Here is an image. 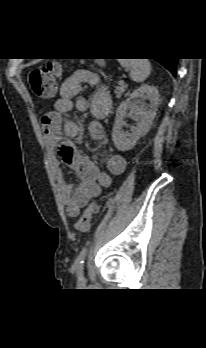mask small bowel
Listing matches in <instances>:
<instances>
[{
  "label": "small bowel",
  "instance_id": "1",
  "mask_svg": "<svg viewBox=\"0 0 206 348\" xmlns=\"http://www.w3.org/2000/svg\"><path fill=\"white\" fill-rule=\"evenodd\" d=\"M99 77L88 70H78L61 85L59 97L54 103V109L42 118V131L46 146L54 167V173L59 186L63 204L69 217H76L81 208L91 199L101 194L102 188L112 185V176L120 175L126 169V160L117 153H110L105 158L106 170H100L87 157L80 154L75 146L65 138L75 137L80 132L79 124L63 117L64 114L76 110L90 111L93 120L88 126L92 139L103 142L106 138L102 119L109 113L112 99L105 87L99 88L88 101L81 96L83 85H97ZM60 162L68 165L80 179L77 188L68 184L60 169Z\"/></svg>",
  "mask_w": 206,
  "mask_h": 348
}]
</instances>
